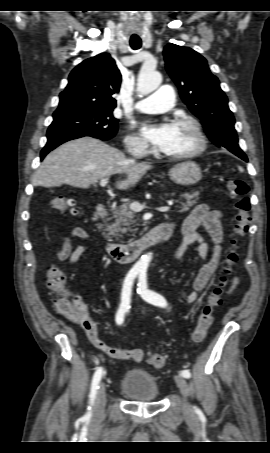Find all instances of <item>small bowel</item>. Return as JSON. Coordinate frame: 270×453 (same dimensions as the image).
I'll return each mask as SVG.
<instances>
[{
	"instance_id": "1",
	"label": "small bowel",
	"mask_w": 270,
	"mask_h": 453,
	"mask_svg": "<svg viewBox=\"0 0 270 453\" xmlns=\"http://www.w3.org/2000/svg\"><path fill=\"white\" fill-rule=\"evenodd\" d=\"M221 219L222 214L220 211L211 210L206 204H199L186 215L182 222L183 238L173 253L172 261L174 263L178 262L185 254L187 248L193 244L197 245V254L200 260L205 261L209 248L203 237L198 233L200 225H203L206 228L214 243L212 257L200 267L194 279L192 290L186 296V302L188 305H192L198 300L199 295L206 288L220 264L222 250L221 244L223 241ZM171 224L174 226L173 223ZM73 239L89 240L91 239V235L83 227H74L69 236L63 240L59 250L56 253L58 260L66 261L69 264H75L82 257V255L87 252L88 247L86 245H80L73 248ZM238 282L239 278L235 277L232 281L229 292L236 287ZM75 298L79 303L80 314L77 318L68 316L67 318L86 332L89 341L94 347L108 357L116 360H130L135 363L142 362L144 358V352L142 350L115 348L104 343L99 336L96 322L90 317L88 307L80 296H75Z\"/></svg>"
}]
</instances>
